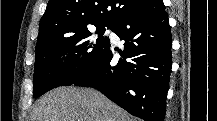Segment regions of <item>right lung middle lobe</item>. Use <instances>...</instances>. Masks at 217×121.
<instances>
[{"label": "right lung middle lobe", "mask_w": 217, "mask_h": 121, "mask_svg": "<svg viewBox=\"0 0 217 121\" xmlns=\"http://www.w3.org/2000/svg\"><path fill=\"white\" fill-rule=\"evenodd\" d=\"M96 32L88 26L54 42L36 47L33 97L59 86L72 85L98 62L110 45L103 36L113 24H95Z\"/></svg>", "instance_id": "right-lung-middle-lobe-1"}]
</instances>
